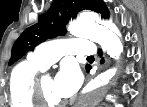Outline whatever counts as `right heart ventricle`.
I'll return each instance as SVG.
<instances>
[{"instance_id":"obj_1","label":"right heart ventricle","mask_w":147,"mask_h":107,"mask_svg":"<svg viewBox=\"0 0 147 107\" xmlns=\"http://www.w3.org/2000/svg\"><path fill=\"white\" fill-rule=\"evenodd\" d=\"M44 69L43 66L31 59H27L14 67L9 82L11 107H36L31 97L32 87L37 73Z\"/></svg>"}]
</instances>
